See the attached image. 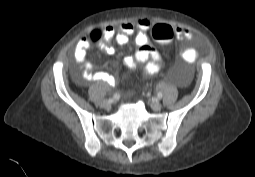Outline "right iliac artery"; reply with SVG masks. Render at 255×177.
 I'll list each match as a JSON object with an SVG mask.
<instances>
[{
    "label": "right iliac artery",
    "instance_id": "1",
    "mask_svg": "<svg viewBox=\"0 0 255 177\" xmlns=\"http://www.w3.org/2000/svg\"><path fill=\"white\" fill-rule=\"evenodd\" d=\"M120 98V95L118 93H115L113 95V100H118Z\"/></svg>",
    "mask_w": 255,
    "mask_h": 177
}]
</instances>
